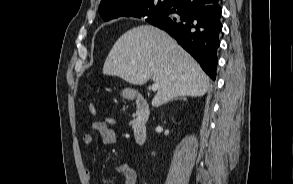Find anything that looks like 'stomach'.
<instances>
[{
  "label": "stomach",
  "instance_id": "0dacf381",
  "mask_svg": "<svg viewBox=\"0 0 293 184\" xmlns=\"http://www.w3.org/2000/svg\"><path fill=\"white\" fill-rule=\"evenodd\" d=\"M137 95V92L133 89L126 88L122 91V96L128 99H132Z\"/></svg>",
  "mask_w": 293,
  "mask_h": 184
}]
</instances>
